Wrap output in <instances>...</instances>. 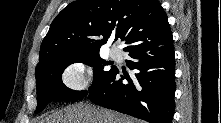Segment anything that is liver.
Here are the masks:
<instances>
[{
  "label": "liver",
  "mask_w": 221,
  "mask_h": 123,
  "mask_svg": "<svg viewBox=\"0 0 221 123\" xmlns=\"http://www.w3.org/2000/svg\"><path fill=\"white\" fill-rule=\"evenodd\" d=\"M41 123H134V120L111 110L78 103L52 113Z\"/></svg>",
  "instance_id": "obj_1"
}]
</instances>
